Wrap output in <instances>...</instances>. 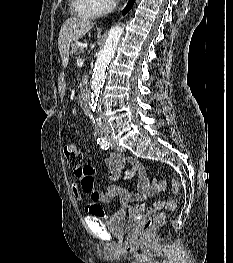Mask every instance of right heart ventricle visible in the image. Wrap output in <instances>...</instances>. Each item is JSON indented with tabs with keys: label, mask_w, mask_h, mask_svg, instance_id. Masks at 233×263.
I'll list each match as a JSON object with an SVG mask.
<instances>
[{
	"label": "right heart ventricle",
	"mask_w": 233,
	"mask_h": 263,
	"mask_svg": "<svg viewBox=\"0 0 233 263\" xmlns=\"http://www.w3.org/2000/svg\"><path fill=\"white\" fill-rule=\"evenodd\" d=\"M75 12L85 18H93L98 15L90 0H72Z\"/></svg>",
	"instance_id": "e07e8e85"
}]
</instances>
